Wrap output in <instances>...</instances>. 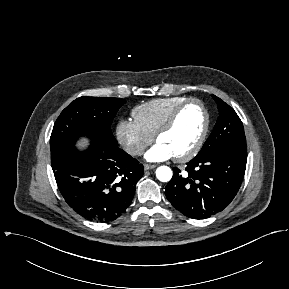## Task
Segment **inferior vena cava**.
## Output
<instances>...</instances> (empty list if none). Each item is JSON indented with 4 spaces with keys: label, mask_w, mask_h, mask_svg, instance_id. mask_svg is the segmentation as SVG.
<instances>
[{
    "label": "inferior vena cava",
    "mask_w": 289,
    "mask_h": 289,
    "mask_svg": "<svg viewBox=\"0 0 289 289\" xmlns=\"http://www.w3.org/2000/svg\"><path fill=\"white\" fill-rule=\"evenodd\" d=\"M126 152L132 156L141 155L143 153V148L137 146H129Z\"/></svg>",
    "instance_id": "1"
}]
</instances>
